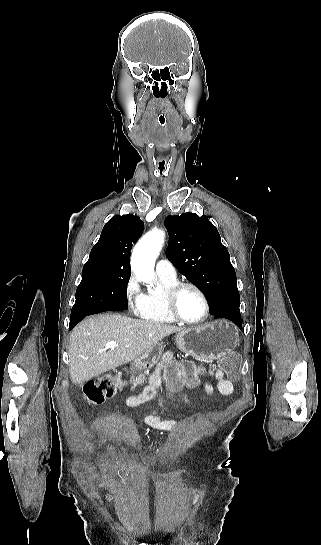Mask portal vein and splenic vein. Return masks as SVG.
I'll use <instances>...</instances> for the list:
<instances>
[{"mask_svg": "<svg viewBox=\"0 0 321 545\" xmlns=\"http://www.w3.org/2000/svg\"><path fill=\"white\" fill-rule=\"evenodd\" d=\"M115 347H118L116 341H110V343H107L106 349H115Z\"/></svg>", "mask_w": 321, "mask_h": 545, "instance_id": "18ae733b", "label": "portal vein and splenic vein"}]
</instances>
